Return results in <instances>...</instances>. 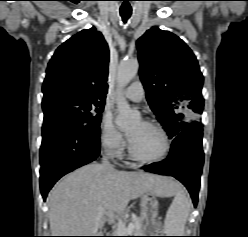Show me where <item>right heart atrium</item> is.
Masks as SVG:
<instances>
[{
    "label": "right heart atrium",
    "mask_w": 248,
    "mask_h": 237,
    "mask_svg": "<svg viewBox=\"0 0 248 237\" xmlns=\"http://www.w3.org/2000/svg\"><path fill=\"white\" fill-rule=\"evenodd\" d=\"M100 143L113 156H120L125 148V140L117 129L110 113L103 114L100 122Z\"/></svg>",
    "instance_id": "obj_1"
}]
</instances>
